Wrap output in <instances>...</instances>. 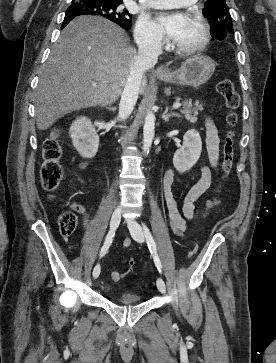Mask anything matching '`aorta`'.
<instances>
[{"mask_svg": "<svg viewBox=\"0 0 276 363\" xmlns=\"http://www.w3.org/2000/svg\"><path fill=\"white\" fill-rule=\"evenodd\" d=\"M155 134V115L152 111H149L145 117V123L143 127V152L149 153L152 145V141Z\"/></svg>", "mask_w": 276, "mask_h": 363, "instance_id": "obj_1", "label": "aorta"}]
</instances>
